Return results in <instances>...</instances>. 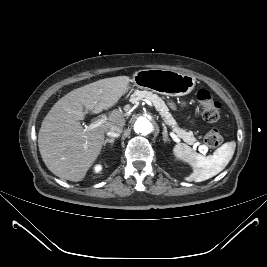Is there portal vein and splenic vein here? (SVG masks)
<instances>
[{"label": "portal vein and splenic vein", "mask_w": 267, "mask_h": 267, "mask_svg": "<svg viewBox=\"0 0 267 267\" xmlns=\"http://www.w3.org/2000/svg\"><path fill=\"white\" fill-rule=\"evenodd\" d=\"M149 106H151V107H153V104L151 103V101H149V100H147V99H145L144 100ZM158 111V110H157ZM158 113H159V115L163 118V116L161 115V113L158 111ZM106 118H101V119H98V120H96V121H94L93 123H91V124H89L88 126H86V128L84 129V132H86V131H88V130H91V129H94V128H97V127H99V126H101L103 123H105L106 122ZM163 121L167 124V125H169L166 121H165V119L163 118ZM170 126V125H169ZM172 136L173 137H175L176 135L174 134V133H172ZM201 149H204L205 151L207 150V147L206 146H204V145H202L201 146Z\"/></svg>", "instance_id": "obj_1"}]
</instances>
